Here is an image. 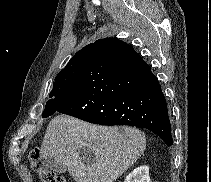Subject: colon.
<instances>
[{"label": "colon", "mask_w": 211, "mask_h": 182, "mask_svg": "<svg viewBox=\"0 0 211 182\" xmlns=\"http://www.w3.org/2000/svg\"><path fill=\"white\" fill-rule=\"evenodd\" d=\"M29 160L34 171L39 174L41 182H66L63 177L45 167L39 148H34L29 152Z\"/></svg>", "instance_id": "colon-1"}]
</instances>
